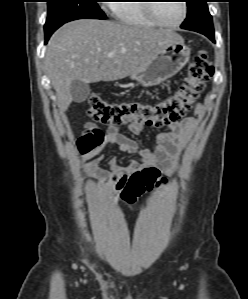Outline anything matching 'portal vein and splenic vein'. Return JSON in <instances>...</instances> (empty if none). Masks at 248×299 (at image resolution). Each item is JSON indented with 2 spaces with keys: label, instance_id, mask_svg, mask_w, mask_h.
<instances>
[{
  "label": "portal vein and splenic vein",
  "instance_id": "obj_1",
  "mask_svg": "<svg viewBox=\"0 0 248 299\" xmlns=\"http://www.w3.org/2000/svg\"><path fill=\"white\" fill-rule=\"evenodd\" d=\"M108 56H109V57H112V56H113V53H109Z\"/></svg>",
  "mask_w": 248,
  "mask_h": 299
}]
</instances>
